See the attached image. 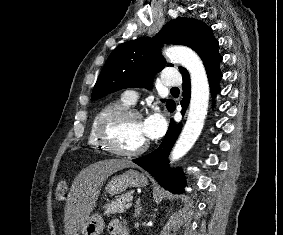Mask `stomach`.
Returning <instances> with one entry per match:
<instances>
[{"mask_svg":"<svg viewBox=\"0 0 283 235\" xmlns=\"http://www.w3.org/2000/svg\"><path fill=\"white\" fill-rule=\"evenodd\" d=\"M148 184L147 177L137 170L130 169L120 175L113 176L106 185L110 194H119L129 187H144ZM104 229V220L99 214H92L85 221L82 235H101Z\"/></svg>","mask_w":283,"mask_h":235,"instance_id":"0dacf381","label":"stomach"}]
</instances>
